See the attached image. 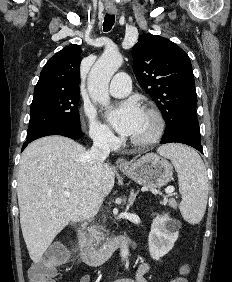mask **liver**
<instances>
[{"label":"liver","instance_id":"liver-1","mask_svg":"<svg viewBox=\"0 0 232 282\" xmlns=\"http://www.w3.org/2000/svg\"><path fill=\"white\" fill-rule=\"evenodd\" d=\"M87 155L81 144L63 136L40 138L22 153L17 179L20 223L34 263L40 262L70 221L86 220L99 210ZM114 182L113 168L103 164L102 199L111 192ZM64 191L70 196L65 197Z\"/></svg>","mask_w":232,"mask_h":282}]
</instances>
